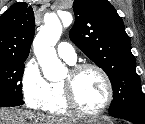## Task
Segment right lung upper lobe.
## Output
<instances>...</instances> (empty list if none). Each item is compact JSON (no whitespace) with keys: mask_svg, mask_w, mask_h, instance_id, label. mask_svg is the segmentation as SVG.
<instances>
[{"mask_svg":"<svg viewBox=\"0 0 145 124\" xmlns=\"http://www.w3.org/2000/svg\"><path fill=\"white\" fill-rule=\"evenodd\" d=\"M34 33L32 7L25 2L11 6L0 17V60L26 59Z\"/></svg>","mask_w":145,"mask_h":124,"instance_id":"cb5924a9","label":"right lung upper lobe"}]
</instances>
